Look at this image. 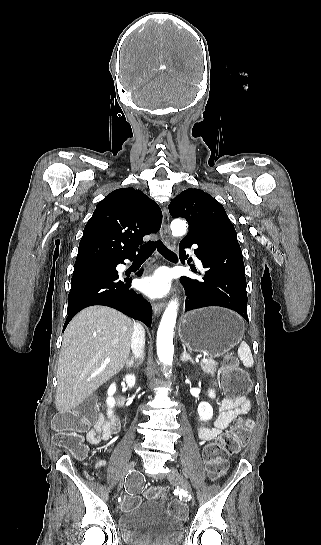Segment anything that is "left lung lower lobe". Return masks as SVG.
Instances as JSON below:
<instances>
[{"label": "left lung lower lobe", "instance_id": "obj_1", "mask_svg": "<svg viewBox=\"0 0 321 545\" xmlns=\"http://www.w3.org/2000/svg\"><path fill=\"white\" fill-rule=\"evenodd\" d=\"M194 250L206 269L202 280L181 277L187 298L185 312L207 306H221L239 313L247 322V292L244 262L235 232L217 231L193 236L180 242V259L186 247Z\"/></svg>", "mask_w": 321, "mask_h": 545}]
</instances>
